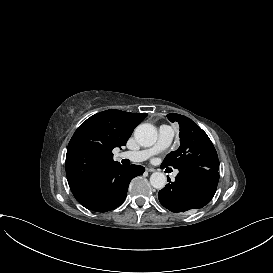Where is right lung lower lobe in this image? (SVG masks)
<instances>
[{"mask_svg": "<svg viewBox=\"0 0 273 273\" xmlns=\"http://www.w3.org/2000/svg\"><path fill=\"white\" fill-rule=\"evenodd\" d=\"M144 171L145 168L139 165L126 167L118 163L72 193L85 208L107 212L123 203L131 179L143 174Z\"/></svg>", "mask_w": 273, "mask_h": 273, "instance_id": "obj_1", "label": "right lung lower lobe"}]
</instances>
